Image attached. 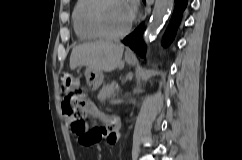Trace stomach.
Listing matches in <instances>:
<instances>
[{"mask_svg":"<svg viewBox=\"0 0 242 160\" xmlns=\"http://www.w3.org/2000/svg\"><path fill=\"white\" fill-rule=\"evenodd\" d=\"M125 61L128 64H133L134 58L128 55H125ZM85 77H86L87 86L91 91H96L101 86L104 80V75L101 71L88 70L85 72Z\"/></svg>","mask_w":242,"mask_h":160,"instance_id":"0dacf381","label":"stomach"}]
</instances>
